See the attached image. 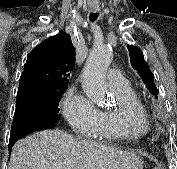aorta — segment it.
<instances>
[{
	"mask_svg": "<svg viewBox=\"0 0 177 169\" xmlns=\"http://www.w3.org/2000/svg\"><path fill=\"white\" fill-rule=\"evenodd\" d=\"M113 59L112 50L106 45L93 47L83 70L82 88L94 103L105 105L109 102L106 71Z\"/></svg>",
	"mask_w": 177,
	"mask_h": 169,
	"instance_id": "1",
	"label": "aorta"
}]
</instances>
